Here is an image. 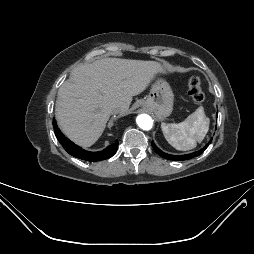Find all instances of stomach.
I'll list each match as a JSON object with an SVG mask.
<instances>
[{
  "label": "stomach",
  "instance_id": "0dacf381",
  "mask_svg": "<svg viewBox=\"0 0 254 254\" xmlns=\"http://www.w3.org/2000/svg\"><path fill=\"white\" fill-rule=\"evenodd\" d=\"M174 94L170 85L163 79H157L152 85L149 95L143 101V107L153 112L157 118L168 117L173 110Z\"/></svg>",
  "mask_w": 254,
  "mask_h": 254
}]
</instances>
